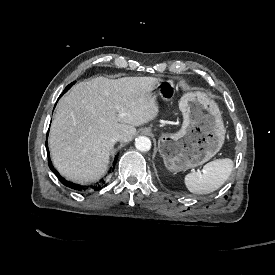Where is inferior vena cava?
<instances>
[{
	"instance_id": "obj_1",
	"label": "inferior vena cava",
	"mask_w": 275,
	"mask_h": 275,
	"mask_svg": "<svg viewBox=\"0 0 275 275\" xmlns=\"http://www.w3.org/2000/svg\"><path fill=\"white\" fill-rule=\"evenodd\" d=\"M122 136H123L122 132H115L111 136V141L115 143V142L121 140Z\"/></svg>"
}]
</instances>
